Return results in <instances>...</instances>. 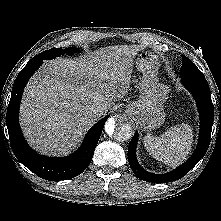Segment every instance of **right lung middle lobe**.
Returning <instances> with one entry per match:
<instances>
[{"label": "right lung middle lobe", "mask_w": 221, "mask_h": 221, "mask_svg": "<svg viewBox=\"0 0 221 221\" xmlns=\"http://www.w3.org/2000/svg\"><path fill=\"white\" fill-rule=\"evenodd\" d=\"M78 49L75 48V47H69V48H66V49H62V48H52L50 50H46L40 54H38L37 56H35L34 58L36 59H53L55 58L56 56H60V55H63L64 53H67V54H74L75 52H77Z\"/></svg>", "instance_id": "right-lung-middle-lobe-1"}]
</instances>
